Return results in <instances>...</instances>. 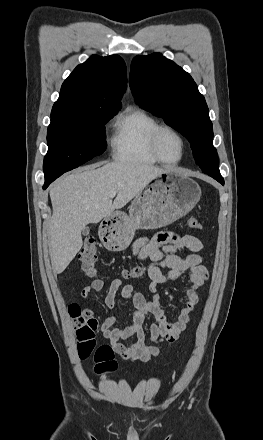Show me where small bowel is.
I'll use <instances>...</instances> for the list:
<instances>
[{
    "mask_svg": "<svg viewBox=\"0 0 263 440\" xmlns=\"http://www.w3.org/2000/svg\"><path fill=\"white\" fill-rule=\"evenodd\" d=\"M203 249L202 242L195 236H178L172 232H160L151 238H140L133 246L136 259H149L148 277L151 280L152 300L135 289L131 284H123V278L111 280L104 303L109 309L123 310L116 301L120 292L123 299L129 300L134 310L132 323L126 327L116 326L115 316L106 317L99 325V330L115 352L130 361L146 362L159 354V344H173L187 328L191 314L198 302V291L208 279V270L202 264V257L197 253ZM182 251H190L186 257L178 256ZM168 269L167 273L163 269ZM188 273V286L185 291L187 303L178 313L175 320H170L160 303L158 285L173 281ZM105 281L94 278L82 291L81 296L87 299L92 292L104 289ZM151 315L153 322L149 327V336L143 329L145 318ZM133 338L129 346L121 341Z\"/></svg>",
    "mask_w": 263,
    "mask_h": 440,
    "instance_id": "c3829d8e",
    "label": "small bowel"
}]
</instances>
